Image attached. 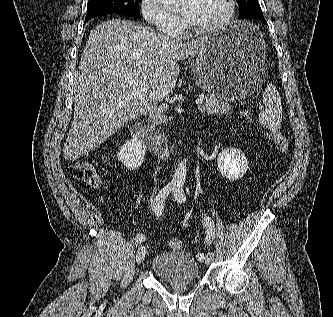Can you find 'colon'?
<instances>
[{
    "label": "colon",
    "mask_w": 333,
    "mask_h": 317,
    "mask_svg": "<svg viewBox=\"0 0 333 317\" xmlns=\"http://www.w3.org/2000/svg\"><path fill=\"white\" fill-rule=\"evenodd\" d=\"M241 115L246 119H251L250 110H243ZM263 134L266 138L272 141L277 148L286 153L289 148V143L286 136L277 130H264ZM69 175L79 181H83L91 186L97 187L100 185V175L96 171L95 167L89 162H77L68 167ZM168 246L171 249L177 250L182 246V242L179 239H171L168 241Z\"/></svg>",
    "instance_id": "obj_1"
}]
</instances>
